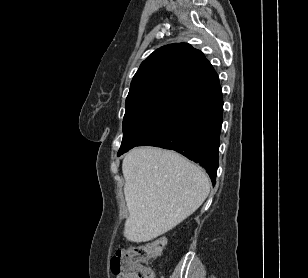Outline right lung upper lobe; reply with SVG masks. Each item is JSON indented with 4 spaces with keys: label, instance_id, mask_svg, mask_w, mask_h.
<instances>
[{
    "label": "right lung upper lobe",
    "instance_id": "right-lung-upper-lobe-1",
    "mask_svg": "<svg viewBox=\"0 0 308 278\" xmlns=\"http://www.w3.org/2000/svg\"><path fill=\"white\" fill-rule=\"evenodd\" d=\"M219 89L218 75L201 51L187 43L166 45L136 72L124 119L144 112H180Z\"/></svg>",
    "mask_w": 308,
    "mask_h": 278
}]
</instances>
